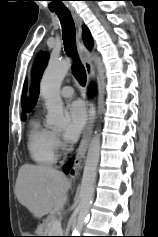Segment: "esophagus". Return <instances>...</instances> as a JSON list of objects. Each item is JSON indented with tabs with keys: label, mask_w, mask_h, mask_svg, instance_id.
<instances>
[{
	"label": "esophagus",
	"mask_w": 158,
	"mask_h": 237,
	"mask_svg": "<svg viewBox=\"0 0 158 237\" xmlns=\"http://www.w3.org/2000/svg\"><path fill=\"white\" fill-rule=\"evenodd\" d=\"M69 10L76 24L77 49H78L80 59L85 67L87 80H88V88H90L92 82L95 79V71H94V67L92 65V61L90 58V53L82 41V20L79 17L74 7H70ZM86 106H87V111H88L87 124L84 128L83 135H82L80 144L77 148L72 167L69 171V176L73 180H75L79 176V173L82 169L83 162L85 160V155L89 146V142L91 140L95 119H96V110H95L94 101L92 98L88 96H86Z\"/></svg>",
	"instance_id": "obj_1"
}]
</instances>
